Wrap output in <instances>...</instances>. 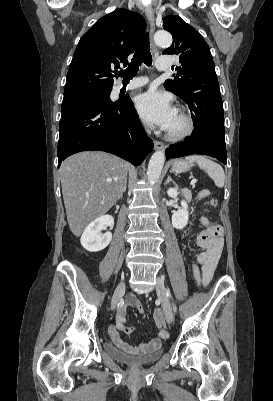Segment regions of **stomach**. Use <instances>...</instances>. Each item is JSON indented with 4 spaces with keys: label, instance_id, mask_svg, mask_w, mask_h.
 Wrapping results in <instances>:
<instances>
[{
    "label": "stomach",
    "instance_id": "obj_1",
    "mask_svg": "<svg viewBox=\"0 0 273 401\" xmlns=\"http://www.w3.org/2000/svg\"><path fill=\"white\" fill-rule=\"evenodd\" d=\"M190 166H193V164L188 160H174L172 162L173 172H185V170H190Z\"/></svg>",
    "mask_w": 273,
    "mask_h": 401
}]
</instances>
